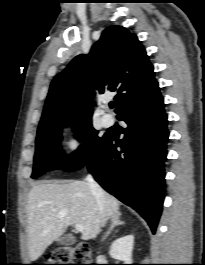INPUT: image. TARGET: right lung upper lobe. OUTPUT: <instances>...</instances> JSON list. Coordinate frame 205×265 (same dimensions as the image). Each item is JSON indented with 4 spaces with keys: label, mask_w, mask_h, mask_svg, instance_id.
Segmentation results:
<instances>
[{
    "label": "right lung upper lobe",
    "mask_w": 205,
    "mask_h": 265,
    "mask_svg": "<svg viewBox=\"0 0 205 265\" xmlns=\"http://www.w3.org/2000/svg\"><path fill=\"white\" fill-rule=\"evenodd\" d=\"M153 65L136 35L121 26L104 30L88 55L76 56L49 89L38 131L69 121L90 120L93 90L116 92L119 115L158 91Z\"/></svg>",
    "instance_id": "cb5924a9"
}]
</instances>
